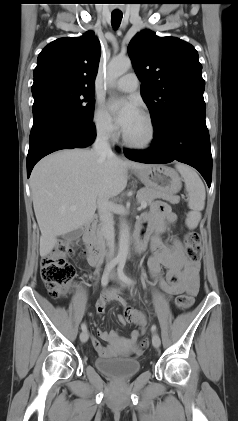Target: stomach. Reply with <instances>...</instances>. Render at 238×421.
I'll use <instances>...</instances> for the list:
<instances>
[{"label":"stomach","mask_w":238,"mask_h":421,"mask_svg":"<svg viewBox=\"0 0 238 421\" xmlns=\"http://www.w3.org/2000/svg\"><path fill=\"white\" fill-rule=\"evenodd\" d=\"M136 176L147 187L159 190L168 195H174L181 190L182 181L178 173L165 165H149L139 169Z\"/></svg>","instance_id":"0dacf381"}]
</instances>
